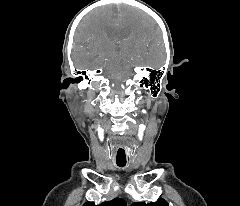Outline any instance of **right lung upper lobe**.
Listing matches in <instances>:
<instances>
[{
	"instance_id": "1",
	"label": "right lung upper lobe",
	"mask_w": 240,
	"mask_h": 206,
	"mask_svg": "<svg viewBox=\"0 0 240 206\" xmlns=\"http://www.w3.org/2000/svg\"><path fill=\"white\" fill-rule=\"evenodd\" d=\"M83 206H95L93 202H86ZM99 206H126V202L123 199L115 198L108 202H103Z\"/></svg>"
}]
</instances>
